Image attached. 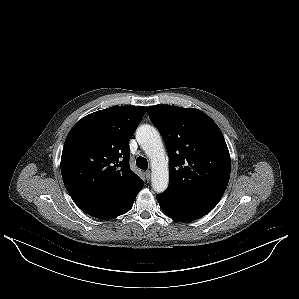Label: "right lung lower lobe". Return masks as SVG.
<instances>
[{
	"mask_svg": "<svg viewBox=\"0 0 299 299\" xmlns=\"http://www.w3.org/2000/svg\"><path fill=\"white\" fill-rule=\"evenodd\" d=\"M120 194L116 190L104 191L74 200L85 213L99 219H110L126 213L133 205L131 201L126 207H120Z\"/></svg>",
	"mask_w": 299,
	"mask_h": 299,
	"instance_id": "right-lung-lower-lobe-1",
	"label": "right lung lower lobe"
}]
</instances>
